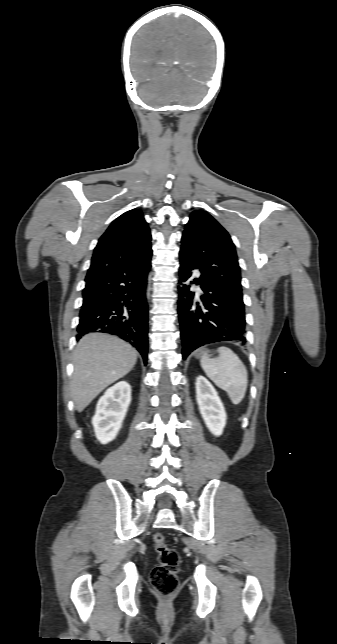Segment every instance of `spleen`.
<instances>
[{
    "label": "spleen",
    "mask_w": 337,
    "mask_h": 644,
    "mask_svg": "<svg viewBox=\"0 0 337 644\" xmlns=\"http://www.w3.org/2000/svg\"><path fill=\"white\" fill-rule=\"evenodd\" d=\"M218 357L205 353L200 364L208 378L226 391L233 404H239L246 393L248 373L239 357L227 347H219Z\"/></svg>",
    "instance_id": "1"
}]
</instances>
